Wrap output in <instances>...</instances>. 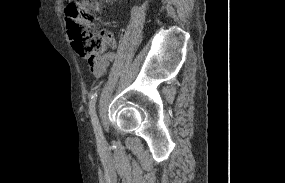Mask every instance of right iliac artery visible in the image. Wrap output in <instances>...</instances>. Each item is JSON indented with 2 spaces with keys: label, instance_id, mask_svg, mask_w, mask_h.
<instances>
[{
  "label": "right iliac artery",
  "instance_id": "right-iliac-artery-1",
  "mask_svg": "<svg viewBox=\"0 0 285 183\" xmlns=\"http://www.w3.org/2000/svg\"><path fill=\"white\" fill-rule=\"evenodd\" d=\"M96 98H97V93H94L91 97V101H90V115H91V121L94 127V132L96 135V139L98 142H102L103 141V134H102V130H101V126L99 124L96 112H95V102H96Z\"/></svg>",
  "mask_w": 285,
  "mask_h": 183
}]
</instances>
